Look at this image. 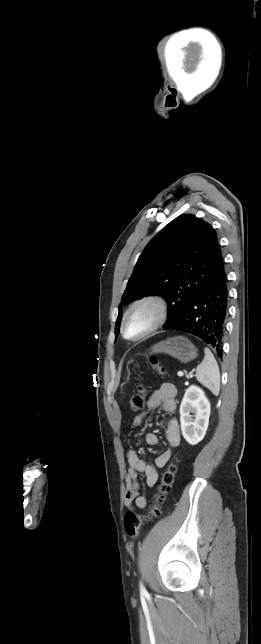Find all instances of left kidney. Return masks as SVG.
<instances>
[{
    "mask_svg": "<svg viewBox=\"0 0 261 644\" xmlns=\"http://www.w3.org/2000/svg\"><path fill=\"white\" fill-rule=\"evenodd\" d=\"M210 410V402L203 390L196 385L189 386L180 405L181 431L189 444L196 445L204 438L209 424Z\"/></svg>",
    "mask_w": 261,
    "mask_h": 644,
    "instance_id": "1",
    "label": "left kidney"
}]
</instances>
